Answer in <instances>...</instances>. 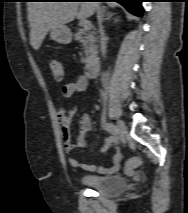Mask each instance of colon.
<instances>
[{
    "instance_id": "5ec220e1",
    "label": "colon",
    "mask_w": 188,
    "mask_h": 213,
    "mask_svg": "<svg viewBox=\"0 0 188 213\" xmlns=\"http://www.w3.org/2000/svg\"><path fill=\"white\" fill-rule=\"evenodd\" d=\"M50 69L53 74V76L56 79H63L64 73L63 68L61 66V63L58 60H51L50 61ZM141 163V159L139 157H132L127 160L125 168L127 173L133 172L135 167H137Z\"/></svg>"
}]
</instances>
